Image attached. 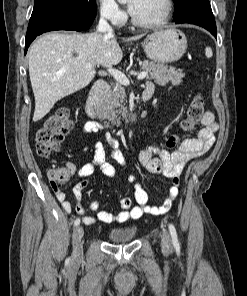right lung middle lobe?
Instances as JSON below:
<instances>
[{
	"label": "right lung middle lobe",
	"instance_id": "right-lung-middle-lobe-1",
	"mask_svg": "<svg viewBox=\"0 0 247 296\" xmlns=\"http://www.w3.org/2000/svg\"><path fill=\"white\" fill-rule=\"evenodd\" d=\"M60 4L68 5L71 13L74 14L96 12L95 0H35L34 9L31 16H35Z\"/></svg>",
	"mask_w": 247,
	"mask_h": 296
}]
</instances>
